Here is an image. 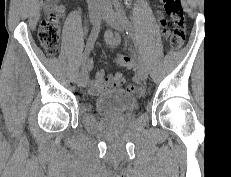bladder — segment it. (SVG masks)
Wrapping results in <instances>:
<instances>
[{
	"label": "bladder",
	"mask_w": 231,
	"mask_h": 177,
	"mask_svg": "<svg viewBox=\"0 0 231 177\" xmlns=\"http://www.w3.org/2000/svg\"><path fill=\"white\" fill-rule=\"evenodd\" d=\"M95 107L102 115L115 116L135 111L138 100L125 90L110 89L96 98Z\"/></svg>",
	"instance_id": "bladder-1"
}]
</instances>
